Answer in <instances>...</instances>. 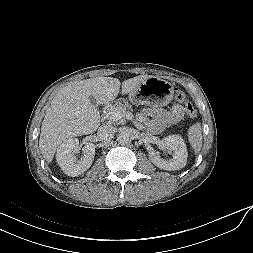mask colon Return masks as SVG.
<instances>
[{
  "mask_svg": "<svg viewBox=\"0 0 253 253\" xmlns=\"http://www.w3.org/2000/svg\"><path fill=\"white\" fill-rule=\"evenodd\" d=\"M175 98L183 105V109L188 117L194 118L196 116V110L193 104L187 99L186 94L182 90H175Z\"/></svg>",
  "mask_w": 253,
  "mask_h": 253,
  "instance_id": "obj_1",
  "label": "colon"
}]
</instances>
